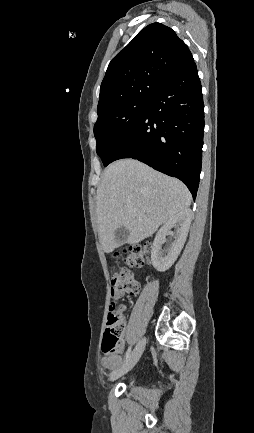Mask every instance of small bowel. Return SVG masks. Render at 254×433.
Segmentation results:
<instances>
[{
	"instance_id": "c3829d8e",
	"label": "small bowel",
	"mask_w": 254,
	"mask_h": 433,
	"mask_svg": "<svg viewBox=\"0 0 254 433\" xmlns=\"http://www.w3.org/2000/svg\"><path fill=\"white\" fill-rule=\"evenodd\" d=\"M112 294V292H111ZM124 292H116L114 293V297L116 299H120L124 296ZM125 307L121 306V311H124ZM122 321L124 322V319H122ZM122 361V357L120 354H106L103 359H102V366L105 369L108 370H115L117 368H119L120 364Z\"/></svg>"
}]
</instances>
